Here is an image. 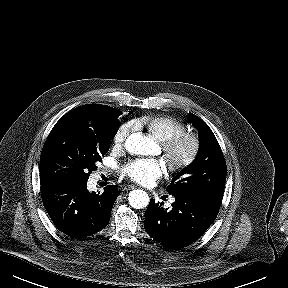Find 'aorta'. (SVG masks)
Wrapping results in <instances>:
<instances>
[{"label":"aorta","mask_w":288,"mask_h":288,"mask_svg":"<svg viewBox=\"0 0 288 288\" xmlns=\"http://www.w3.org/2000/svg\"><path fill=\"white\" fill-rule=\"evenodd\" d=\"M126 150L135 155H150L152 154L157 145L151 138L141 134H131L125 143ZM129 204L136 209H142L149 204L148 194L140 189L133 190L129 193Z\"/></svg>","instance_id":"aorta-1"}]
</instances>
